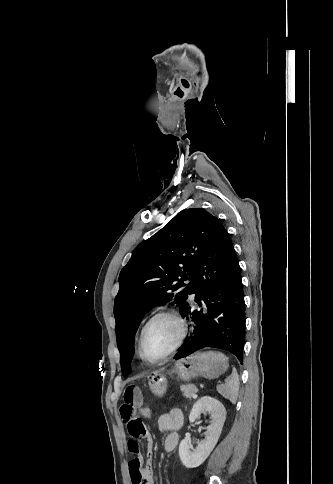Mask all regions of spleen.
<instances>
[{"mask_svg": "<svg viewBox=\"0 0 333 484\" xmlns=\"http://www.w3.org/2000/svg\"><path fill=\"white\" fill-rule=\"evenodd\" d=\"M217 391L232 404L236 403L239 392V377L235 369L223 384L217 386Z\"/></svg>", "mask_w": 333, "mask_h": 484, "instance_id": "obj_1", "label": "spleen"}]
</instances>
